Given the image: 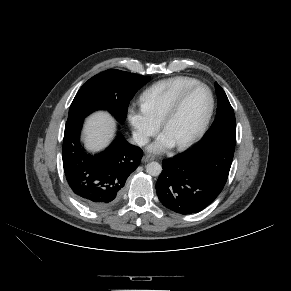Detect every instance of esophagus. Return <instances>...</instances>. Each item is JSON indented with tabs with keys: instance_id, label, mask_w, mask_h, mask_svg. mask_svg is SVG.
Here are the masks:
<instances>
[{
	"instance_id": "obj_1",
	"label": "esophagus",
	"mask_w": 291,
	"mask_h": 291,
	"mask_svg": "<svg viewBox=\"0 0 291 291\" xmlns=\"http://www.w3.org/2000/svg\"><path fill=\"white\" fill-rule=\"evenodd\" d=\"M154 159H155V158H154V156H152V155H145V156H143L142 161H143L144 163H146V162L152 161V160H154Z\"/></svg>"
}]
</instances>
